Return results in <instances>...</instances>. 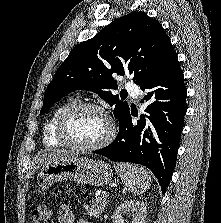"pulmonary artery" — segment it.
<instances>
[{
    "mask_svg": "<svg viewBox=\"0 0 221 223\" xmlns=\"http://www.w3.org/2000/svg\"><path fill=\"white\" fill-rule=\"evenodd\" d=\"M125 85L134 98H137L140 95V89L132 81L126 82Z\"/></svg>",
    "mask_w": 221,
    "mask_h": 223,
    "instance_id": "1",
    "label": "pulmonary artery"
}]
</instances>
